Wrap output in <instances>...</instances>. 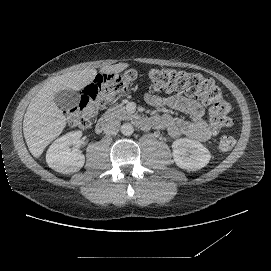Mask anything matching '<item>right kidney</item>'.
I'll return each mask as SVG.
<instances>
[{
	"mask_svg": "<svg viewBox=\"0 0 271 271\" xmlns=\"http://www.w3.org/2000/svg\"><path fill=\"white\" fill-rule=\"evenodd\" d=\"M81 137L82 131L78 130L56 139L46 153L48 166L63 174L79 171L85 163V156L76 148ZM70 146L74 147L71 149Z\"/></svg>",
	"mask_w": 271,
	"mask_h": 271,
	"instance_id": "obj_1",
	"label": "right kidney"
}]
</instances>
